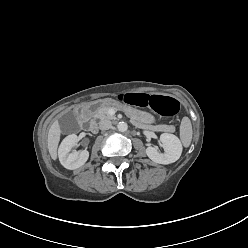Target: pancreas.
Masks as SVG:
<instances>
[{
  "label": "pancreas",
  "instance_id": "cf45deb5",
  "mask_svg": "<svg viewBox=\"0 0 248 248\" xmlns=\"http://www.w3.org/2000/svg\"><path fill=\"white\" fill-rule=\"evenodd\" d=\"M110 108H119L115 103L113 102H108L106 104H103L98 110L95 115V118L104 120V119H114V116L109 115L108 111ZM135 125L139 128L143 129H150L154 131H166V132H174L175 127L172 125H147V124H142L140 122L134 121Z\"/></svg>",
  "mask_w": 248,
  "mask_h": 248
}]
</instances>
